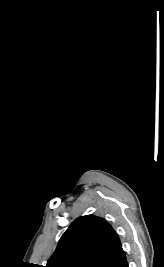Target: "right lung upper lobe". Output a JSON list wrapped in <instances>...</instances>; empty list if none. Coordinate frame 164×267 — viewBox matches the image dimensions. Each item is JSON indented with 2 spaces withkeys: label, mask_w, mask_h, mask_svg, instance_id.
<instances>
[{
  "label": "right lung upper lobe",
  "mask_w": 164,
  "mask_h": 267,
  "mask_svg": "<svg viewBox=\"0 0 164 267\" xmlns=\"http://www.w3.org/2000/svg\"><path fill=\"white\" fill-rule=\"evenodd\" d=\"M121 249L117 233L105 219L86 215L62 235L46 267H100Z\"/></svg>",
  "instance_id": "cb5924a9"
}]
</instances>
